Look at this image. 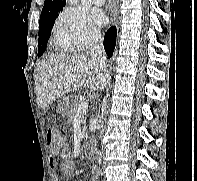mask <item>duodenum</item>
Returning a JSON list of instances; mask_svg holds the SVG:
<instances>
[{"label":"duodenum","mask_w":197,"mask_h":181,"mask_svg":"<svg viewBox=\"0 0 197 181\" xmlns=\"http://www.w3.org/2000/svg\"><path fill=\"white\" fill-rule=\"evenodd\" d=\"M92 153H93V150H92L91 147H86L85 148V154H86V156L91 157L92 156Z\"/></svg>","instance_id":"obj_1"}]
</instances>
